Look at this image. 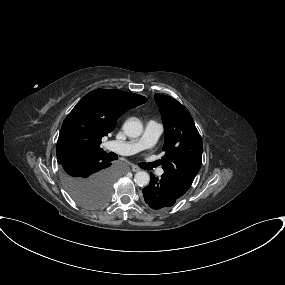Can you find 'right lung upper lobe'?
<instances>
[{
  "mask_svg": "<svg viewBox=\"0 0 285 285\" xmlns=\"http://www.w3.org/2000/svg\"><path fill=\"white\" fill-rule=\"evenodd\" d=\"M147 101L133 93L96 89L86 94L65 118L57 142L59 164L90 152H103L102 137L112 132L127 110Z\"/></svg>",
  "mask_w": 285,
  "mask_h": 285,
  "instance_id": "1",
  "label": "right lung upper lobe"
}]
</instances>
